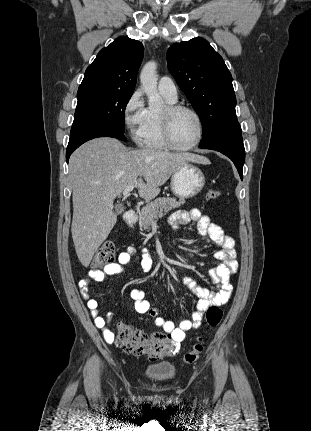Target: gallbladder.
<instances>
[{"label": "gallbladder", "instance_id": "bac80fb5", "mask_svg": "<svg viewBox=\"0 0 311 431\" xmlns=\"http://www.w3.org/2000/svg\"><path fill=\"white\" fill-rule=\"evenodd\" d=\"M125 208L124 206H122V204H117V206H115V212L116 214H122V212H124Z\"/></svg>", "mask_w": 311, "mask_h": 431}]
</instances>
